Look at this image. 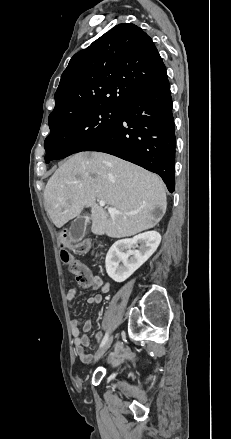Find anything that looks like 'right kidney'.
Wrapping results in <instances>:
<instances>
[{"label":"right kidney","instance_id":"obj_1","mask_svg":"<svg viewBox=\"0 0 231 439\" xmlns=\"http://www.w3.org/2000/svg\"><path fill=\"white\" fill-rule=\"evenodd\" d=\"M160 242L161 235L156 231L116 241L105 259L108 276L115 282L125 281L150 258Z\"/></svg>","mask_w":231,"mask_h":439}]
</instances>
